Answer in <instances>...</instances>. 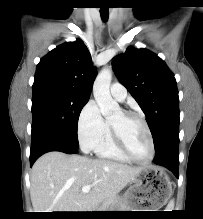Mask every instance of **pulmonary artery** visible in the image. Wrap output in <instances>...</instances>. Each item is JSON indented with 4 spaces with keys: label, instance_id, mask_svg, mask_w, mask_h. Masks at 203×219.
Listing matches in <instances>:
<instances>
[{
    "label": "pulmonary artery",
    "instance_id": "e3ab8cb5",
    "mask_svg": "<svg viewBox=\"0 0 203 219\" xmlns=\"http://www.w3.org/2000/svg\"><path fill=\"white\" fill-rule=\"evenodd\" d=\"M111 95L118 101L122 102L127 96L125 87L120 83H113L110 88Z\"/></svg>",
    "mask_w": 203,
    "mask_h": 219
}]
</instances>
